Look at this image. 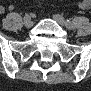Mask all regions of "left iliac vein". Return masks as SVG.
Masks as SVG:
<instances>
[{
  "mask_svg": "<svg viewBox=\"0 0 91 91\" xmlns=\"http://www.w3.org/2000/svg\"><path fill=\"white\" fill-rule=\"evenodd\" d=\"M53 18H54V20L56 21V22H58L60 25H62V26H65L66 27V20L61 16V15H59V14H54L53 15Z\"/></svg>",
  "mask_w": 91,
  "mask_h": 91,
  "instance_id": "left-iliac-vein-1",
  "label": "left iliac vein"
}]
</instances>
